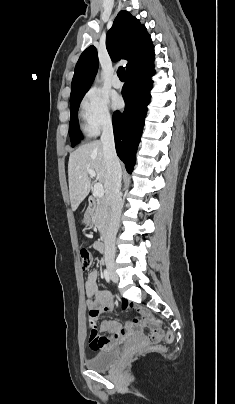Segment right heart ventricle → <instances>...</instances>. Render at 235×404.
I'll return each instance as SVG.
<instances>
[{
	"label": "right heart ventricle",
	"mask_w": 235,
	"mask_h": 404,
	"mask_svg": "<svg viewBox=\"0 0 235 404\" xmlns=\"http://www.w3.org/2000/svg\"><path fill=\"white\" fill-rule=\"evenodd\" d=\"M83 130H84L85 133L91 134V133L89 132V130L86 128L85 124H84V126H83Z\"/></svg>",
	"instance_id": "obj_1"
}]
</instances>
